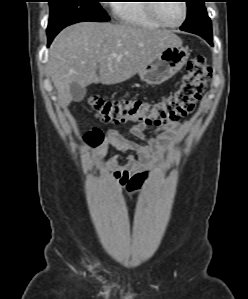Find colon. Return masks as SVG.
<instances>
[{
	"instance_id": "1",
	"label": "colon",
	"mask_w": 248,
	"mask_h": 299,
	"mask_svg": "<svg viewBox=\"0 0 248 299\" xmlns=\"http://www.w3.org/2000/svg\"><path fill=\"white\" fill-rule=\"evenodd\" d=\"M211 76L212 69L205 57L197 56L188 62L179 86L158 101H110L92 96L89 105L96 116L106 123L143 121L148 125L159 126L163 123L178 122L193 111ZM148 175L149 171L135 173L129 180V191L138 189Z\"/></svg>"
}]
</instances>
